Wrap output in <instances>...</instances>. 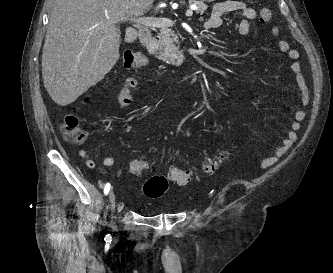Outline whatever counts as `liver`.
<instances>
[{
    "label": "liver",
    "mask_w": 333,
    "mask_h": 273,
    "mask_svg": "<svg viewBox=\"0 0 333 273\" xmlns=\"http://www.w3.org/2000/svg\"><path fill=\"white\" fill-rule=\"evenodd\" d=\"M154 0H55L42 53L44 87L60 106L101 81L120 57L119 23Z\"/></svg>",
    "instance_id": "1"
}]
</instances>
